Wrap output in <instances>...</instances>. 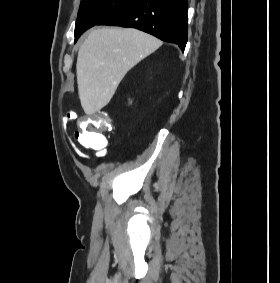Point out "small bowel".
<instances>
[{"mask_svg": "<svg viewBox=\"0 0 280 283\" xmlns=\"http://www.w3.org/2000/svg\"><path fill=\"white\" fill-rule=\"evenodd\" d=\"M71 122L72 119L70 118L69 115H67L63 120L64 127L67 128ZM74 150L79 157H84V154L81 151L77 150L76 148H74Z\"/></svg>", "mask_w": 280, "mask_h": 283, "instance_id": "1", "label": "small bowel"}]
</instances>
